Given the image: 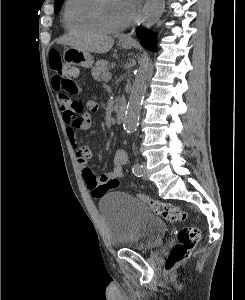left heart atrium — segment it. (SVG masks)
<instances>
[{
  "label": "left heart atrium",
  "instance_id": "left-heart-atrium-1",
  "mask_svg": "<svg viewBox=\"0 0 245 300\" xmlns=\"http://www.w3.org/2000/svg\"><path fill=\"white\" fill-rule=\"evenodd\" d=\"M123 1L126 7L128 8L130 16L131 17L135 16L140 0H123Z\"/></svg>",
  "mask_w": 245,
  "mask_h": 300
}]
</instances>
